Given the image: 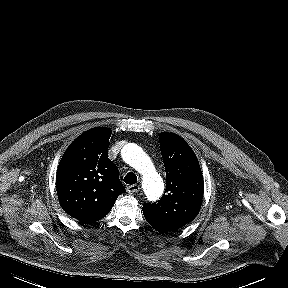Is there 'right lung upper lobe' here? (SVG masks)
<instances>
[{
    "label": "right lung upper lobe",
    "mask_w": 288,
    "mask_h": 288,
    "mask_svg": "<svg viewBox=\"0 0 288 288\" xmlns=\"http://www.w3.org/2000/svg\"><path fill=\"white\" fill-rule=\"evenodd\" d=\"M108 128H93L75 139L65 151L56 176L64 211L84 223L104 218L125 192L117 166L108 158Z\"/></svg>",
    "instance_id": "cb5924a9"
}]
</instances>
